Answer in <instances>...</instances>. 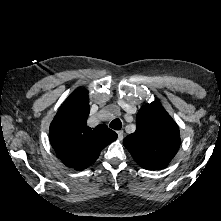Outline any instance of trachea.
Returning <instances> with one entry per match:
<instances>
[{
	"label": "trachea",
	"instance_id": "obj_1",
	"mask_svg": "<svg viewBox=\"0 0 221 221\" xmlns=\"http://www.w3.org/2000/svg\"><path fill=\"white\" fill-rule=\"evenodd\" d=\"M109 126L112 129L120 130L122 128V122L120 119L116 118L109 124Z\"/></svg>",
	"mask_w": 221,
	"mask_h": 221
}]
</instances>
